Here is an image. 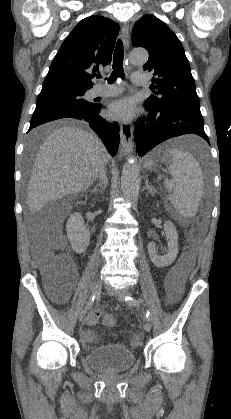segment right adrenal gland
I'll return each instance as SVG.
<instances>
[{
  "instance_id": "2a0ac1e0",
  "label": "right adrenal gland",
  "mask_w": 231,
  "mask_h": 419,
  "mask_svg": "<svg viewBox=\"0 0 231 419\" xmlns=\"http://www.w3.org/2000/svg\"><path fill=\"white\" fill-rule=\"evenodd\" d=\"M106 184H107V180H105L104 181V184H103V186H100V188L98 189L97 188V186L96 187H94L92 190H91V192L92 193H94V194H98V193H102L104 190H105V188H106Z\"/></svg>"
}]
</instances>
